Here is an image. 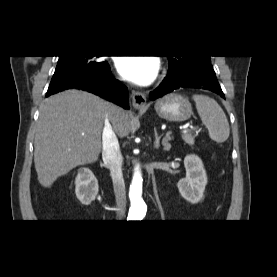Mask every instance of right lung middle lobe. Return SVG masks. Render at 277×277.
<instances>
[{
	"mask_svg": "<svg viewBox=\"0 0 277 277\" xmlns=\"http://www.w3.org/2000/svg\"><path fill=\"white\" fill-rule=\"evenodd\" d=\"M108 63L99 56H59L49 89H57L81 80H92L103 73Z\"/></svg>",
	"mask_w": 277,
	"mask_h": 277,
	"instance_id": "1",
	"label": "right lung middle lobe"
}]
</instances>
